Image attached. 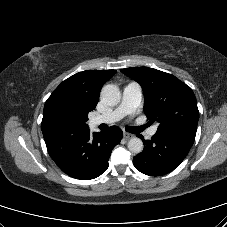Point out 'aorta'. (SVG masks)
Masks as SVG:
<instances>
[{
  "label": "aorta",
  "mask_w": 227,
  "mask_h": 227,
  "mask_svg": "<svg viewBox=\"0 0 227 227\" xmlns=\"http://www.w3.org/2000/svg\"><path fill=\"white\" fill-rule=\"evenodd\" d=\"M101 101L108 106H115L120 102L121 93L117 86L108 84L101 90ZM128 149L134 154L141 153L143 151V142L140 138H131L128 142Z\"/></svg>",
  "instance_id": "1"
}]
</instances>
